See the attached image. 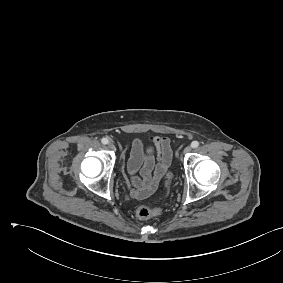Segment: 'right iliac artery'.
Returning a JSON list of instances; mask_svg holds the SVG:
<instances>
[{
	"label": "right iliac artery",
	"mask_w": 283,
	"mask_h": 283,
	"mask_svg": "<svg viewBox=\"0 0 283 283\" xmlns=\"http://www.w3.org/2000/svg\"><path fill=\"white\" fill-rule=\"evenodd\" d=\"M101 142L103 144H108L109 143V140L107 138H102Z\"/></svg>",
	"instance_id": "82829eb1"
}]
</instances>
